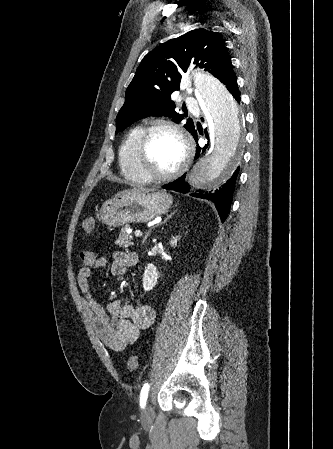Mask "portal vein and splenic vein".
<instances>
[{"label": "portal vein and splenic vein", "instance_id": "18ae733b", "mask_svg": "<svg viewBox=\"0 0 333 449\" xmlns=\"http://www.w3.org/2000/svg\"><path fill=\"white\" fill-rule=\"evenodd\" d=\"M135 236L136 237L142 236V232L141 231H135Z\"/></svg>", "mask_w": 333, "mask_h": 449}]
</instances>
